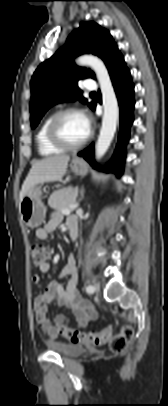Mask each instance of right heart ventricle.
Returning <instances> with one entry per match:
<instances>
[{"label": "right heart ventricle", "instance_id": "e07e8e85", "mask_svg": "<svg viewBox=\"0 0 168 406\" xmlns=\"http://www.w3.org/2000/svg\"><path fill=\"white\" fill-rule=\"evenodd\" d=\"M52 118V115L47 116L41 125L39 126L37 133H36V143L38 147V151L42 156H52L59 154L63 151V149L53 145L47 137V128L48 124Z\"/></svg>", "mask_w": 168, "mask_h": 406}]
</instances>
